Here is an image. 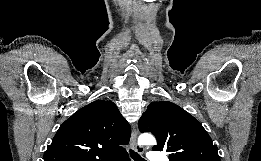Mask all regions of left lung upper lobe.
I'll list each match as a JSON object with an SVG mask.
<instances>
[{"instance_id":"5c2ea615","label":"left lung upper lobe","mask_w":261,"mask_h":161,"mask_svg":"<svg viewBox=\"0 0 261 161\" xmlns=\"http://www.w3.org/2000/svg\"><path fill=\"white\" fill-rule=\"evenodd\" d=\"M138 126L156 137L153 150L169 152L170 161H220L217 146L201 123L172 102L150 103Z\"/></svg>"}]
</instances>
